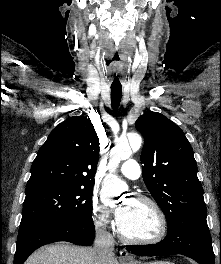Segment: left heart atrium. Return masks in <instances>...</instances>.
<instances>
[{"label": "left heart atrium", "instance_id": "39dd6f15", "mask_svg": "<svg viewBox=\"0 0 221 264\" xmlns=\"http://www.w3.org/2000/svg\"><path fill=\"white\" fill-rule=\"evenodd\" d=\"M129 213H130V206L127 204L116 209L115 215L119 225L125 222V220L129 216Z\"/></svg>", "mask_w": 221, "mask_h": 264}]
</instances>
